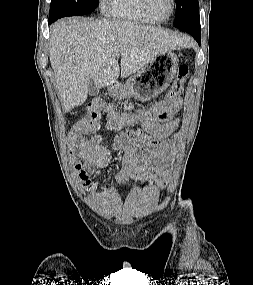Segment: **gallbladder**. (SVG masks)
<instances>
[{
  "label": "gallbladder",
  "mask_w": 253,
  "mask_h": 285,
  "mask_svg": "<svg viewBox=\"0 0 253 285\" xmlns=\"http://www.w3.org/2000/svg\"><path fill=\"white\" fill-rule=\"evenodd\" d=\"M99 93L98 87L95 85L94 81L91 79L88 83V94L95 96Z\"/></svg>",
  "instance_id": "1"
}]
</instances>
